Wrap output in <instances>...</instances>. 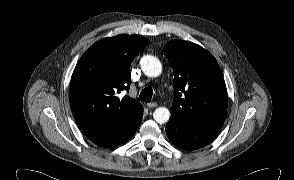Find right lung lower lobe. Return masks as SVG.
I'll return each instance as SVG.
<instances>
[{"label":"right lung lower lobe","instance_id":"98d812e1","mask_svg":"<svg viewBox=\"0 0 294 180\" xmlns=\"http://www.w3.org/2000/svg\"><path fill=\"white\" fill-rule=\"evenodd\" d=\"M143 117V107H137L123 122L109 130L85 132L86 136L101 147H115L128 141L137 131Z\"/></svg>","mask_w":294,"mask_h":180}]
</instances>
